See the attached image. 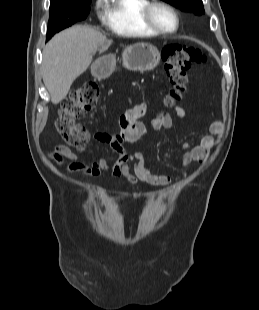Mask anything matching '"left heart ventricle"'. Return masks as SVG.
Masks as SVG:
<instances>
[{
    "label": "left heart ventricle",
    "instance_id": "left-heart-ventricle-1",
    "mask_svg": "<svg viewBox=\"0 0 259 310\" xmlns=\"http://www.w3.org/2000/svg\"><path fill=\"white\" fill-rule=\"evenodd\" d=\"M152 18L159 27L166 30H172L176 25L173 14L162 7L154 8Z\"/></svg>",
    "mask_w": 259,
    "mask_h": 310
}]
</instances>
